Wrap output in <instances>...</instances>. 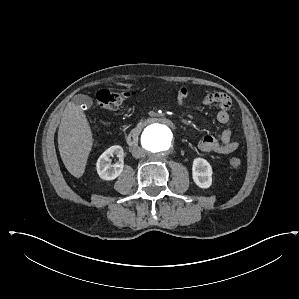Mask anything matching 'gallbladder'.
<instances>
[{
    "mask_svg": "<svg viewBox=\"0 0 299 299\" xmlns=\"http://www.w3.org/2000/svg\"><path fill=\"white\" fill-rule=\"evenodd\" d=\"M73 103L76 105H84L86 109H90L92 106V99L86 95H76L73 98Z\"/></svg>",
    "mask_w": 299,
    "mask_h": 299,
    "instance_id": "gallbladder-1",
    "label": "gallbladder"
}]
</instances>
